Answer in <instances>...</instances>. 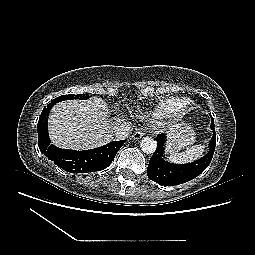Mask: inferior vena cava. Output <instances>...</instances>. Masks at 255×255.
<instances>
[{
  "label": "inferior vena cava",
  "mask_w": 255,
  "mask_h": 255,
  "mask_svg": "<svg viewBox=\"0 0 255 255\" xmlns=\"http://www.w3.org/2000/svg\"><path fill=\"white\" fill-rule=\"evenodd\" d=\"M132 131L131 125L128 122L118 123L112 128V135L115 140L126 139Z\"/></svg>",
  "instance_id": "obj_1"
}]
</instances>
